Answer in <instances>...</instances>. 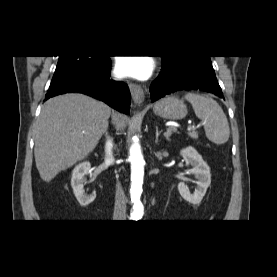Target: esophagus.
Instances as JSON below:
<instances>
[{"label": "esophagus", "instance_id": "1", "mask_svg": "<svg viewBox=\"0 0 277 277\" xmlns=\"http://www.w3.org/2000/svg\"><path fill=\"white\" fill-rule=\"evenodd\" d=\"M128 86H129L131 96H132L134 103L141 104L145 99V95H144V91H143L142 87L140 85L132 83V82H129Z\"/></svg>", "mask_w": 277, "mask_h": 277}]
</instances>
